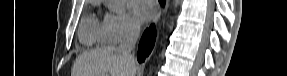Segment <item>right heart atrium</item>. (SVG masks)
Listing matches in <instances>:
<instances>
[{
  "label": "right heart atrium",
  "instance_id": "obj_1",
  "mask_svg": "<svg viewBox=\"0 0 287 76\" xmlns=\"http://www.w3.org/2000/svg\"><path fill=\"white\" fill-rule=\"evenodd\" d=\"M103 26L110 43H119L135 36L140 28L138 21L126 12L106 13Z\"/></svg>",
  "mask_w": 287,
  "mask_h": 76
}]
</instances>
